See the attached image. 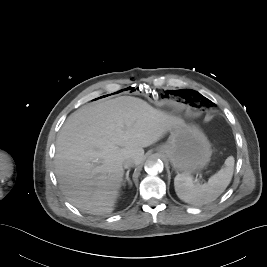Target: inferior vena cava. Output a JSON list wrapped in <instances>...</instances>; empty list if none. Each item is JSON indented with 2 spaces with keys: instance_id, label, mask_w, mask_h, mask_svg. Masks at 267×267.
I'll return each mask as SVG.
<instances>
[{
  "instance_id": "inferior-vena-cava-1",
  "label": "inferior vena cava",
  "mask_w": 267,
  "mask_h": 267,
  "mask_svg": "<svg viewBox=\"0 0 267 267\" xmlns=\"http://www.w3.org/2000/svg\"><path fill=\"white\" fill-rule=\"evenodd\" d=\"M135 163L132 159L130 158H126L124 161H123V166L124 168H128V167H131L133 166Z\"/></svg>"
}]
</instances>
